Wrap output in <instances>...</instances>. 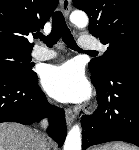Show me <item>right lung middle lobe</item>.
Segmentation results:
<instances>
[{
	"mask_svg": "<svg viewBox=\"0 0 139 150\" xmlns=\"http://www.w3.org/2000/svg\"><path fill=\"white\" fill-rule=\"evenodd\" d=\"M31 52L0 46V73L16 75L27 80L36 77L31 69Z\"/></svg>",
	"mask_w": 139,
	"mask_h": 150,
	"instance_id": "right-lung-middle-lobe-1",
	"label": "right lung middle lobe"
}]
</instances>
